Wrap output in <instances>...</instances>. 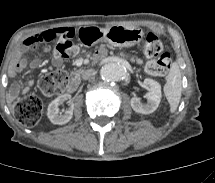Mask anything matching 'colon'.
<instances>
[{"mask_svg": "<svg viewBox=\"0 0 215 183\" xmlns=\"http://www.w3.org/2000/svg\"><path fill=\"white\" fill-rule=\"evenodd\" d=\"M56 37L58 38L54 47V54L56 56L71 58L79 53V47L73 41L74 33L72 31L60 33ZM32 45V52H36L40 48L39 41H36ZM143 50L145 55L150 58L146 64V71L149 74L163 75L168 71L172 63L171 54L163 51L161 40L155 33L147 34ZM66 86L67 77L62 71L46 73L39 80L41 92L48 96L63 92ZM13 109L17 121L24 126L31 127L39 122L43 104L38 96L30 94L18 99L14 103Z\"/></svg>", "mask_w": 215, "mask_h": 183, "instance_id": "colon-1", "label": "colon"}]
</instances>
